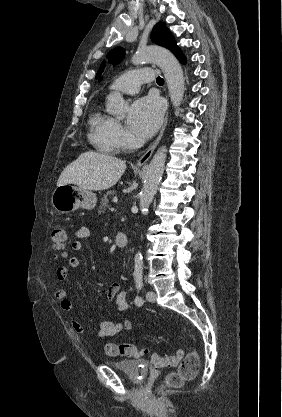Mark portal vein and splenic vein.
<instances>
[{"label": "portal vein and splenic vein", "mask_w": 282, "mask_h": 417, "mask_svg": "<svg viewBox=\"0 0 282 417\" xmlns=\"http://www.w3.org/2000/svg\"><path fill=\"white\" fill-rule=\"evenodd\" d=\"M113 200L114 202H117V196H114Z\"/></svg>", "instance_id": "1"}]
</instances>
